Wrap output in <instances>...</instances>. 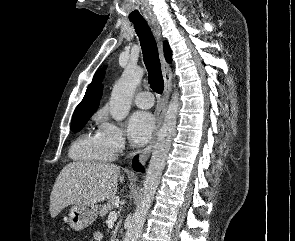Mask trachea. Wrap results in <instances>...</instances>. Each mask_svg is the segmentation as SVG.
Listing matches in <instances>:
<instances>
[{
  "instance_id": "obj_1",
  "label": "trachea",
  "mask_w": 295,
  "mask_h": 241,
  "mask_svg": "<svg viewBox=\"0 0 295 241\" xmlns=\"http://www.w3.org/2000/svg\"><path fill=\"white\" fill-rule=\"evenodd\" d=\"M132 23L134 24L135 31L141 43L150 87L154 92L162 94L164 90V81L155 38L145 20H136L132 21Z\"/></svg>"
}]
</instances>
